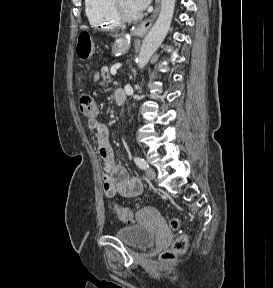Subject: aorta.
I'll return each mask as SVG.
<instances>
[{
	"instance_id": "762f6f07",
	"label": "aorta",
	"mask_w": 273,
	"mask_h": 288,
	"mask_svg": "<svg viewBox=\"0 0 273 288\" xmlns=\"http://www.w3.org/2000/svg\"><path fill=\"white\" fill-rule=\"evenodd\" d=\"M176 0H161V8L159 16L143 40L137 65L139 69H143L149 62L152 55L165 39L172 22Z\"/></svg>"
}]
</instances>
